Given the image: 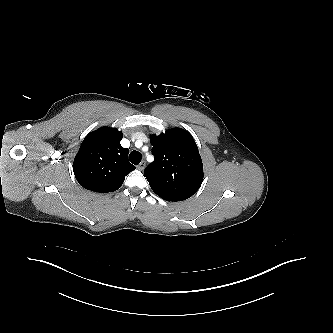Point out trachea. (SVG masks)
<instances>
[{"instance_id": "obj_1", "label": "trachea", "mask_w": 333, "mask_h": 333, "mask_svg": "<svg viewBox=\"0 0 333 333\" xmlns=\"http://www.w3.org/2000/svg\"><path fill=\"white\" fill-rule=\"evenodd\" d=\"M129 159L134 165H138L141 162L142 155L138 151H132L130 153Z\"/></svg>"}]
</instances>
